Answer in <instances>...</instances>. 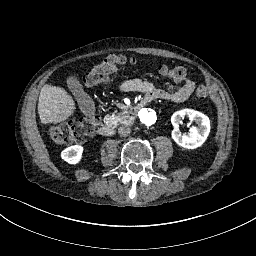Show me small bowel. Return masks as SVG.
I'll list each match as a JSON object with an SVG mask.
<instances>
[{"label": "small bowel", "instance_id": "1", "mask_svg": "<svg viewBox=\"0 0 256 256\" xmlns=\"http://www.w3.org/2000/svg\"><path fill=\"white\" fill-rule=\"evenodd\" d=\"M178 89L167 91L161 89L152 83L141 79H127L119 84L122 91H136L143 93L145 101L168 100L172 102H182L188 99L195 90V83L190 79H183Z\"/></svg>", "mask_w": 256, "mask_h": 256}]
</instances>
